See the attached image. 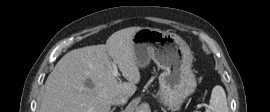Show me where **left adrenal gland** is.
I'll return each instance as SVG.
<instances>
[{
	"instance_id": "left-adrenal-gland-1",
	"label": "left adrenal gland",
	"mask_w": 270,
	"mask_h": 112,
	"mask_svg": "<svg viewBox=\"0 0 270 112\" xmlns=\"http://www.w3.org/2000/svg\"><path fill=\"white\" fill-rule=\"evenodd\" d=\"M161 110H162L163 112H167L163 107H161Z\"/></svg>"
}]
</instances>
